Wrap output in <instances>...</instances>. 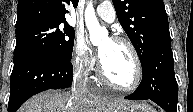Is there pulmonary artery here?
Segmentation results:
<instances>
[{
	"label": "pulmonary artery",
	"mask_w": 193,
	"mask_h": 112,
	"mask_svg": "<svg viewBox=\"0 0 193 112\" xmlns=\"http://www.w3.org/2000/svg\"><path fill=\"white\" fill-rule=\"evenodd\" d=\"M96 15L107 23H113L115 20V10L110 1L102 2L95 11Z\"/></svg>",
	"instance_id": "1"
}]
</instances>
